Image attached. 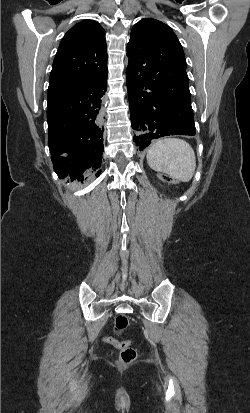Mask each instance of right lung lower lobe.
Segmentation results:
<instances>
[{"instance_id": "obj_1", "label": "right lung lower lobe", "mask_w": 250, "mask_h": 413, "mask_svg": "<svg viewBox=\"0 0 250 413\" xmlns=\"http://www.w3.org/2000/svg\"><path fill=\"white\" fill-rule=\"evenodd\" d=\"M107 73L91 81L47 94L48 145L54 170L63 179H83L84 171L101 173L102 97Z\"/></svg>"}]
</instances>
